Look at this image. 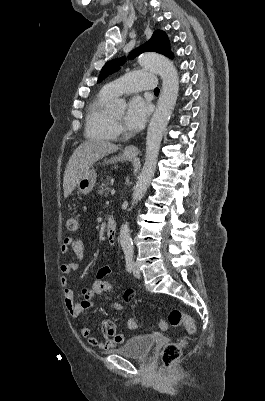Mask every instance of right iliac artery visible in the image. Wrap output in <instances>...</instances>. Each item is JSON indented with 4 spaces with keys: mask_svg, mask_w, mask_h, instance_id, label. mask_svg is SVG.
Returning <instances> with one entry per match:
<instances>
[{
    "mask_svg": "<svg viewBox=\"0 0 265 401\" xmlns=\"http://www.w3.org/2000/svg\"><path fill=\"white\" fill-rule=\"evenodd\" d=\"M132 263H133L132 257L127 256V257H126V270H127L129 273H131L132 270H133Z\"/></svg>",
    "mask_w": 265,
    "mask_h": 401,
    "instance_id": "right-iliac-artery-1",
    "label": "right iliac artery"
}]
</instances>
